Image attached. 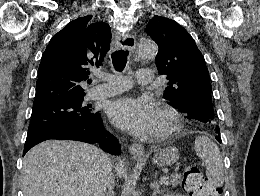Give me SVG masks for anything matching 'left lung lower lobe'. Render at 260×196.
<instances>
[{
	"instance_id": "1",
	"label": "left lung lower lobe",
	"mask_w": 260,
	"mask_h": 196,
	"mask_svg": "<svg viewBox=\"0 0 260 196\" xmlns=\"http://www.w3.org/2000/svg\"><path fill=\"white\" fill-rule=\"evenodd\" d=\"M189 118L193 120H197L200 122H208L216 118L213 107L205 106V107H198L196 109H192ZM216 133L218 134L215 136V138L221 143V137H220V130L217 126L215 128Z\"/></svg>"
}]
</instances>
